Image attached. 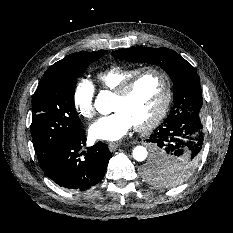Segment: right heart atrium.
<instances>
[{"instance_id":"1","label":"right heart atrium","mask_w":233,"mask_h":233,"mask_svg":"<svg viewBox=\"0 0 233 233\" xmlns=\"http://www.w3.org/2000/svg\"><path fill=\"white\" fill-rule=\"evenodd\" d=\"M96 89L94 84L88 80L79 79L73 89L72 103L76 112L85 119H91L95 115Z\"/></svg>"}]
</instances>
